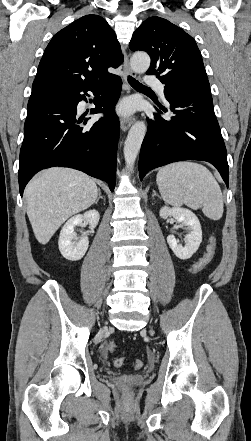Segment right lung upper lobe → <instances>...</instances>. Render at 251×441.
<instances>
[{
    "instance_id": "right-lung-upper-lobe-1",
    "label": "right lung upper lobe",
    "mask_w": 251,
    "mask_h": 441,
    "mask_svg": "<svg viewBox=\"0 0 251 441\" xmlns=\"http://www.w3.org/2000/svg\"><path fill=\"white\" fill-rule=\"evenodd\" d=\"M123 62L115 32L98 15L83 16L56 33L42 56L32 94L78 90L99 84Z\"/></svg>"
}]
</instances>
